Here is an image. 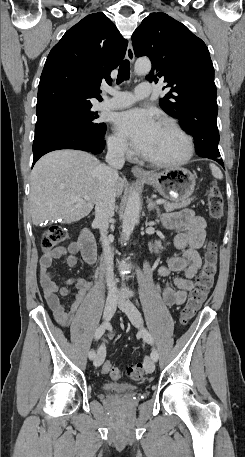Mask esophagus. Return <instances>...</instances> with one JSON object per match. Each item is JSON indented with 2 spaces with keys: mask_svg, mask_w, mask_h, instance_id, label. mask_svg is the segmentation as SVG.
Wrapping results in <instances>:
<instances>
[{
  "mask_svg": "<svg viewBox=\"0 0 245 457\" xmlns=\"http://www.w3.org/2000/svg\"><path fill=\"white\" fill-rule=\"evenodd\" d=\"M126 58L129 60V62L133 63L134 62V50L132 47L131 42H129L128 47H127V52H126ZM132 173L136 176H141V177H149L150 174L143 170L141 167H132Z\"/></svg>",
  "mask_w": 245,
  "mask_h": 457,
  "instance_id": "esophagus-1",
  "label": "esophagus"
}]
</instances>
